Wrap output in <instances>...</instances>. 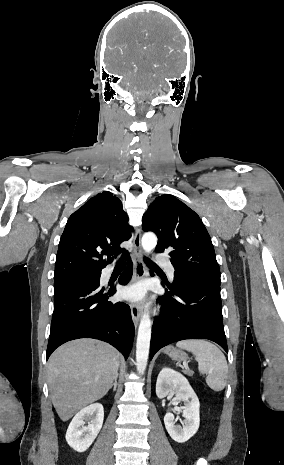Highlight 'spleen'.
<instances>
[{
	"label": "spleen",
	"instance_id": "1",
	"mask_svg": "<svg viewBox=\"0 0 284 465\" xmlns=\"http://www.w3.org/2000/svg\"><path fill=\"white\" fill-rule=\"evenodd\" d=\"M177 347L195 355L198 369L206 375V383L213 391H223L228 377L227 361L220 349L208 341H179Z\"/></svg>",
	"mask_w": 284,
	"mask_h": 465
}]
</instances>
